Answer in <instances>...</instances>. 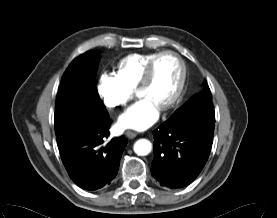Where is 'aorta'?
<instances>
[{
    "label": "aorta",
    "instance_id": "762f6f07",
    "mask_svg": "<svg viewBox=\"0 0 277 218\" xmlns=\"http://www.w3.org/2000/svg\"><path fill=\"white\" fill-rule=\"evenodd\" d=\"M152 150V144L147 139H139L134 144V152L139 156H146Z\"/></svg>",
    "mask_w": 277,
    "mask_h": 218
}]
</instances>
